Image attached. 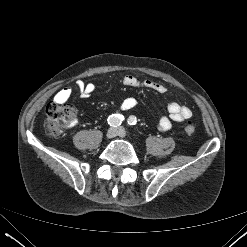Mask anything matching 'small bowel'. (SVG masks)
Here are the masks:
<instances>
[{
  "label": "small bowel",
  "instance_id": "1",
  "mask_svg": "<svg viewBox=\"0 0 247 247\" xmlns=\"http://www.w3.org/2000/svg\"><path fill=\"white\" fill-rule=\"evenodd\" d=\"M122 83L128 87L151 89L161 94L167 91V87L163 83L152 80H139L133 75L124 76ZM76 86L81 97L83 98L89 97L95 91V85L93 83L78 81ZM71 93L72 89L70 87L62 88L55 94L54 101L57 103H64L69 99ZM136 104L137 101L135 98L128 97L123 100L120 105V109L122 111H128L135 107ZM167 110L169 113L168 116H162L158 122V129L160 131H168L171 129L173 122H182L192 116V112L189 107L176 101L169 102L167 105Z\"/></svg>",
  "mask_w": 247,
  "mask_h": 247
}]
</instances>
